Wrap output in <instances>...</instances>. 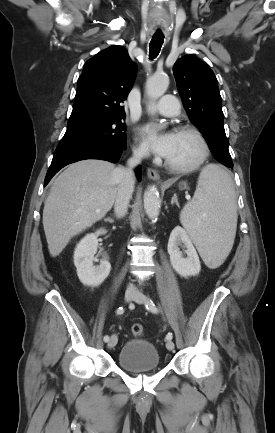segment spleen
Listing matches in <instances>:
<instances>
[{"instance_id":"spleen-1","label":"spleen","mask_w":275,"mask_h":433,"mask_svg":"<svg viewBox=\"0 0 275 433\" xmlns=\"http://www.w3.org/2000/svg\"><path fill=\"white\" fill-rule=\"evenodd\" d=\"M180 221L210 268L220 266L229 255L237 228L234 184L219 165L205 166L193 199L180 213Z\"/></svg>"}]
</instances>
